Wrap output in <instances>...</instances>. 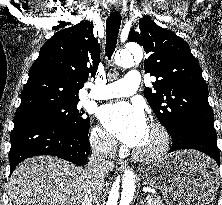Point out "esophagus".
<instances>
[{
    "mask_svg": "<svg viewBox=\"0 0 222 205\" xmlns=\"http://www.w3.org/2000/svg\"><path fill=\"white\" fill-rule=\"evenodd\" d=\"M115 10H119V7H115ZM126 167V164L124 163V162H122V161H118L117 163H116V169L117 170H122V169H124Z\"/></svg>",
    "mask_w": 222,
    "mask_h": 205,
    "instance_id": "34e87169",
    "label": "esophagus"
}]
</instances>
